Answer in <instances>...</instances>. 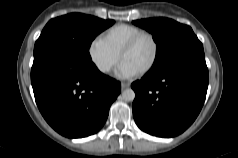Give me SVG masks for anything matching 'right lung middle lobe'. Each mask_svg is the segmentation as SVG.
I'll return each instance as SVG.
<instances>
[{"label":"right lung middle lobe","instance_id":"right-lung-middle-lobe-1","mask_svg":"<svg viewBox=\"0 0 238 158\" xmlns=\"http://www.w3.org/2000/svg\"><path fill=\"white\" fill-rule=\"evenodd\" d=\"M114 22L81 13L51 19L35 43L34 54L47 46H57L82 60L91 62L89 48L93 39Z\"/></svg>","mask_w":238,"mask_h":158}]
</instances>
